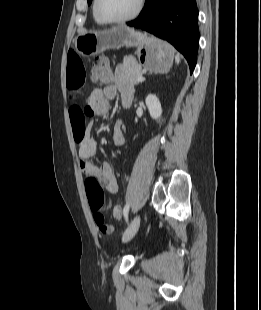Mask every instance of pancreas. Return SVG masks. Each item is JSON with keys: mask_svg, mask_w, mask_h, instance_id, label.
Returning <instances> with one entry per match:
<instances>
[{"mask_svg": "<svg viewBox=\"0 0 261 310\" xmlns=\"http://www.w3.org/2000/svg\"><path fill=\"white\" fill-rule=\"evenodd\" d=\"M123 66L125 68V81L131 86L138 84L137 79L143 74L141 66L131 57L124 58Z\"/></svg>", "mask_w": 261, "mask_h": 310, "instance_id": "obj_1", "label": "pancreas"}]
</instances>
